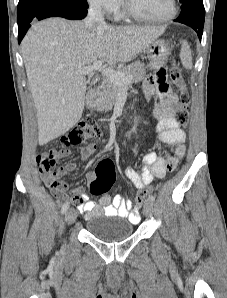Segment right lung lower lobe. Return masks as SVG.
<instances>
[{
	"label": "right lung lower lobe",
	"instance_id": "right-lung-lower-lobe-1",
	"mask_svg": "<svg viewBox=\"0 0 227 298\" xmlns=\"http://www.w3.org/2000/svg\"><path fill=\"white\" fill-rule=\"evenodd\" d=\"M87 8L62 1H47L37 4L17 15L18 42L20 43L31 26V22L48 17H63L81 20L86 17Z\"/></svg>",
	"mask_w": 227,
	"mask_h": 298
}]
</instances>
